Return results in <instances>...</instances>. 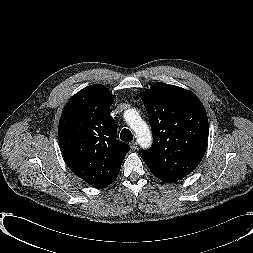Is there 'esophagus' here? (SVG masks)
Returning a JSON list of instances; mask_svg holds the SVG:
<instances>
[{
  "mask_svg": "<svg viewBox=\"0 0 253 253\" xmlns=\"http://www.w3.org/2000/svg\"><path fill=\"white\" fill-rule=\"evenodd\" d=\"M130 148L132 151H135L137 149V142L133 141L130 143Z\"/></svg>",
  "mask_w": 253,
  "mask_h": 253,
  "instance_id": "34e87169",
  "label": "esophagus"
}]
</instances>
